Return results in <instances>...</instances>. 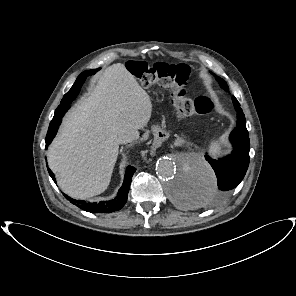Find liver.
Masks as SVG:
<instances>
[{"mask_svg":"<svg viewBox=\"0 0 296 296\" xmlns=\"http://www.w3.org/2000/svg\"><path fill=\"white\" fill-rule=\"evenodd\" d=\"M151 113L150 96L125 65L106 68L89 95L66 115L48 149L60 188L77 199L104 192L117 160L118 138L136 132L138 139Z\"/></svg>","mask_w":296,"mask_h":296,"instance_id":"obj_1","label":"liver"}]
</instances>
